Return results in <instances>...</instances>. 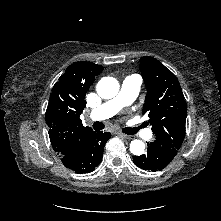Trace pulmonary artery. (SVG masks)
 Returning <instances> with one entry per match:
<instances>
[{
  "label": "pulmonary artery",
  "mask_w": 221,
  "mask_h": 221,
  "mask_svg": "<svg viewBox=\"0 0 221 221\" xmlns=\"http://www.w3.org/2000/svg\"><path fill=\"white\" fill-rule=\"evenodd\" d=\"M142 80L138 75H131L124 79L120 92L113 99L94 109L90 116L94 120L112 117L123 107L130 105L138 96Z\"/></svg>",
  "instance_id": "obj_1"
}]
</instances>
